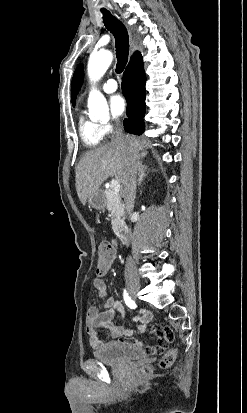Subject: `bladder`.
Instances as JSON below:
<instances>
[{
    "label": "bladder",
    "instance_id": "31cf9c89",
    "mask_svg": "<svg viewBox=\"0 0 247 413\" xmlns=\"http://www.w3.org/2000/svg\"><path fill=\"white\" fill-rule=\"evenodd\" d=\"M145 351L140 347L119 342H108L94 352V358L114 364H125L132 359L143 358Z\"/></svg>",
    "mask_w": 247,
    "mask_h": 413
}]
</instances>
